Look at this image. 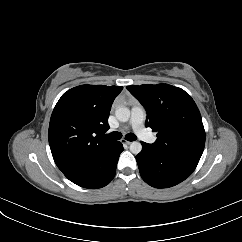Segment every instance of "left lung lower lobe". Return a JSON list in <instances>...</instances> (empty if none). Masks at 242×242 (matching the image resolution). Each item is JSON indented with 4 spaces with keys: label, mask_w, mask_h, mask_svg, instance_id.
Listing matches in <instances>:
<instances>
[{
    "label": "left lung lower lobe",
    "mask_w": 242,
    "mask_h": 242,
    "mask_svg": "<svg viewBox=\"0 0 242 242\" xmlns=\"http://www.w3.org/2000/svg\"><path fill=\"white\" fill-rule=\"evenodd\" d=\"M142 151L136 156L140 175L155 188H167L185 180L199 161L163 152L152 144L141 142Z\"/></svg>",
    "instance_id": "left-lung-lower-lobe-1"
}]
</instances>
